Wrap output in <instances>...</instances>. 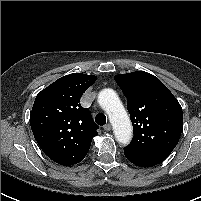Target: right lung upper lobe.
<instances>
[{"mask_svg": "<svg viewBox=\"0 0 201 201\" xmlns=\"http://www.w3.org/2000/svg\"><path fill=\"white\" fill-rule=\"evenodd\" d=\"M95 81L94 75L69 74L35 98L30 115L33 135L43 152L58 164L70 166L82 161L98 134L90 111L79 103Z\"/></svg>", "mask_w": 201, "mask_h": 201, "instance_id": "obj_1", "label": "right lung upper lobe"}]
</instances>
